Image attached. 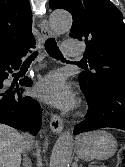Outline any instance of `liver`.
I'll return each mask as SVG.
<instances>
[{
	"mask_svg": "<svg viewBox=\"0 0 125 167\" xmlns=\"http://www.w3.org/2000/svg\"><path fill=\"white\" fill-rule=\"evenodd\" d=\"M25 135L0 124V167H20Z\"/></svg>",
	"mask_w": 125,
	"mask_h": 167,
	"instance_id": "obj_1",
	"label": "liver"
}]
</instances>
